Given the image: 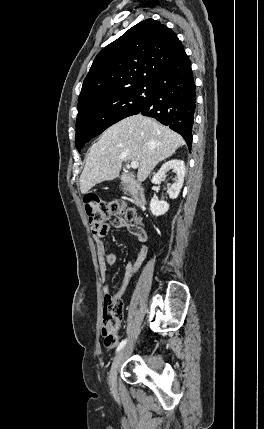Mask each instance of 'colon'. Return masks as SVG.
I'll return each instance as SVG.
<instances>
[{"instance_id": "5ec220e1", "label": "colon", "mask_w": 264, "mask_h": 429, "mask_svg": "<svg viewBox=\"0 0 264 429\" xmlns=\"http://www.w3.org/2000/svg\"><path fill=\"white\" fill-rule=\"evenodd\" d=\"M84 205L90 228L95 236L104 234L109 219L115 214L123 215L131 225L140 226V219L133 208L121 200L112 199L107 202L93 195L85 199ZM122 313V301L112 295L105 296L102 333L104 343L108 348H113L117 343V332L121 324Z\"/></svg>"}]
</instances>
